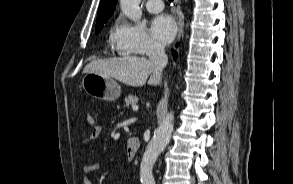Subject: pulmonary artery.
I'll return each instance as SVG.
<instances>
[{
    "instance_id": "obj_1",
    "label": "pulmonary artery",
    "mask_w": 293,
    "mask_h": 184,
    "mask_svg": "<svg viewBox=\"0 0 293 184\" xmlns=\"http://www.w3.org/2000/svg\"><path fill=\"white\" fill-rule=\"evenodd\" d=\"M164 4L162 0H148L146 2V9L150 13H159L163 10Z\"/></svg>"
}]
</instances>
